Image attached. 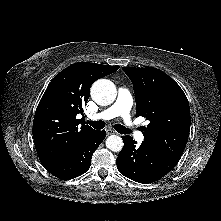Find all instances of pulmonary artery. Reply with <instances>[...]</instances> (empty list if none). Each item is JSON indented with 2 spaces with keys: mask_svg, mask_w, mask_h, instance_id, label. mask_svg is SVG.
Here are the masks:
<instances>
[{
  "mask_svg": "<svg viewBox=\"0 0 221 221\" xmlns=\"http://www.w3.org/2000/svg\"><path fill=\"white\" fill-rule=\"evenodd\" d=\"M132 104L133 99L130 92L122 87L119 88L117 100L113 105L97 114L89 116V118L93 121H105L120 116L124 120L128 130L133 134L134 138L138 141H142V133L135 128L131 120L130 110Z\"/></svg>",
  "mask_w": 221,
  "mask_h": 221,
  "instance_id": "e3ab8cb5",
  "label": "pulmonary artery"
}]
</instances>
